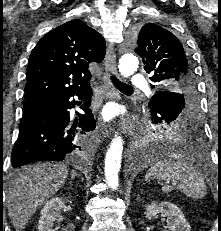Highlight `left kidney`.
Masks as SVG:
<instances>
[{
  "label": "left kidney",
  "instance_id": "left-kidney-1",
  "mask_svg": "<svg viewBox=\"0 0 221 231\" xmlns=\"http://www.w3.org/2000/svg\"><path fill=\"white\" fill-rule=\"evenodd\" d=\"M158 213L167 217V231H191L183 212L171 202H153L146 206V218L151 220Z\"/></svg>",
  "mask_w": 221,
  "mask_h": 231
}]
</instances>
